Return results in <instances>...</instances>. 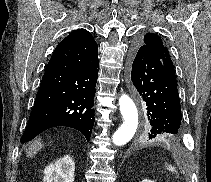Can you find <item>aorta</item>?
Segmentation results:
<instances>
[{"instance_id":"762f6f07","label":"aorta","mask_w":211,"mask_h":182,"mask_svg":"<svg viewBox=\"0 0 211 182\" xmlns=\"http://www.w3.org/2000/svg\"><path fill=\"white\" fill-rule=\"evenodd\" d=\"M119 107L123 123L114 133L112 141L116 146H123L132 139L136 132L138 111L134 101L127 94H122L119 98Z\"/></svg>"}]
</instances>
